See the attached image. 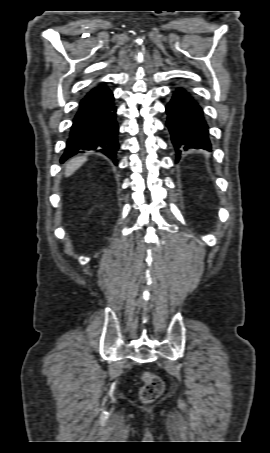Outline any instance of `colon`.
<instances>
[{"label": "colon", "instance_id": "1", "mask_svg": "<svg viewBox=\"0 0 270 453\" xmlns=\"http://www.w3.org/2000/svg\"><path fill=\"white\" fill-rule=\"evenodd\" d=\"M143 386L140 390V399L144 404L152 403L164 390L163 380L150 372H145L142 376Z\"/></svg>", "mask_w": 270, "mask_h": 453}]
</instances>
